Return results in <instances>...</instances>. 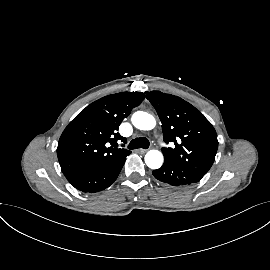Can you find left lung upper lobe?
<instances>
[{
    "mask_svg": "<svg viewBox=\"0 0 270 270\" xmlns=\"http://www.w3.org/2000/svg\"><path fill=\"white\" fill-rule=\"evenodd\" d=\"M162 122L165 161L185 166L201 175L211 168L218 148L217 134L205 116L180 97L160 91L146 92Z\"/></svg>",
    "mask_w": 270,
    "mask_h": 270,
    "instance_id": "obj_1",
    "label": "left lung upper lobe"
}]
</instances>
